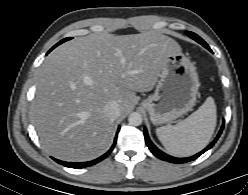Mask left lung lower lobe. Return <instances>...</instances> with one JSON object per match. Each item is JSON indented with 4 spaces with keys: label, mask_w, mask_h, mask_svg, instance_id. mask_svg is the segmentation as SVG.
I'll return each instance as SVG.
<instances>
[{
    "label": "left lung lower lobe",
    "mask_w": 248,
    "mask_h": 195,
    "mask_svg": "<svg viewBox=\"0 0 248 195\" xmlns=\"http://www.w3.org/2000/svg\"><path fill=\"white\" fill-rule=\"evenodd\" d=\"M207 49H208L210 52H212L211 49L209 48V46H207ZM223 128H224V123L222 124V127H221V129H220V131H219L217 137L214 139V141H213L209 146H207V147H206L204 150H202L201 152L195 154V155L192 156V157H188V158H175V157L169 156V155L165 154L164 152H162L161 150H159V149L152 143V141L150 140L146 128L144 129V136H145V141H146L147 146L149 147L150 151H151L156 157H158L159 159H162V160L171 162V163L180 164V163H186V162L192 161V160L196 159L197 157H199V156H200L201 154H203L204 152H206L208 149H210V148L215 144V142L217 141V139L219 138V136L221 135V133H222V131H223Z\"/></svg>",
    "instance_id": "obj_1"
}]
</instances>
